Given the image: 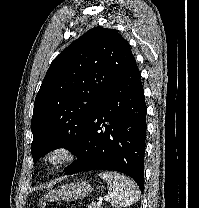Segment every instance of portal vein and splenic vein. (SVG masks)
I'll use <instances>...</instances> for the list:
<instances>
[{
    "instance_id": "obj_1",
    "label": "portal vein and splenic vein",
    "mask_w": 199,
    "mask_h": 208,
    "mask_svg": "<svg viewBox=\"0 0 199 208\" xmlns=\"http://www.w3.org/2000/svg\"><path fill=\"white\" fill-rule=\"evenodd\" d=\"M102 202H103V198H99L97 204H98V205H102Z\"/></svg>"
}]
</instances>
